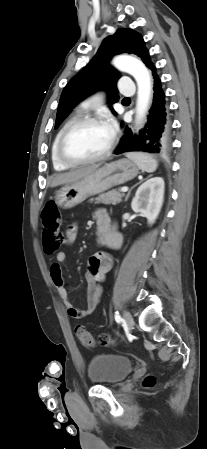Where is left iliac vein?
Masks as SVG:
<instances>
[{
	"mask_svg": "<svg viewBox=\"0 0 207 449\" xmlns=\"http://www.w3.org/2000/svg\"><path fill=\"white\" fill-rule=\"evenodd\" d=\"M124 321L129 329H132L134 326V320L132 315L128 311H124L123 313Z\"/></svg>",
	"mask_w": 207,
	"mask_h": 449,
	"instance_id": "1",
	"label": "left iliac vein"
}]
</instances>
